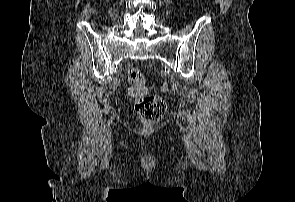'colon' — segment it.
Here are the masks:
<instances>
[{
    "label": "colon",
    "instance_id": "obj_1",
    "mask_svg": "<svg viewBox=\"0 0 295 202\" xmlns=\"http://www.w3.org/2000/svg\"><path fill=\"white\" fill-rule=\"evenodd\" d=\"M128 82L134 87H142L145 78L140 69L131 67L127 71ZM135 110L146 126L159 121L165 114L166 103L158 95H150V98H137L134 103Z\"/></svg>",
    "mask_w": 295,
    "mask_h": 202
}]
</instances>
